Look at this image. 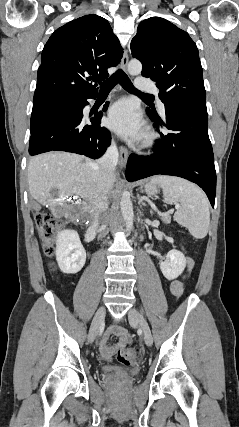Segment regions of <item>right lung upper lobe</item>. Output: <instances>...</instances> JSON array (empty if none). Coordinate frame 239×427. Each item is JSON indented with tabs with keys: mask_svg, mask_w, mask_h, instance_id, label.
<instances>
[{
	"mask_svg": "<svg viewBox=\"0 0 239 427\" xmlns=\"http://www.w3.org/2000/svg\"><path fill=\"white\" fill-rule=\"evenodd\" d=\"M123 56L110 24L98 15H86L58 28L41 56L34 99L51 96L95 95L107 68Z\"/></svg>",
	"mask_w": 239,
	"mask_h": 427,
	"instance_id": "cb5924a9",
	"label": "right lung upper lobe"
}]
</instances>
